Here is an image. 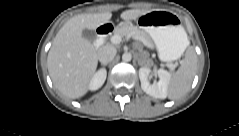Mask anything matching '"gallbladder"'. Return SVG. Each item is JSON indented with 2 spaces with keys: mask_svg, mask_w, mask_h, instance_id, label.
Segmentation results:
<instances>
[{
  "mask_svg": "<svg viewBox=\"0 0 239 136\" xmlns=\"http://www.w3.org/2000/svg\"><path fill=\"white\" fill-rule=\"evenodd\" d=\"M82 37L90 42H94L97 38V35L94 30L84 29L82 32Z\"/></svg>",
  "mask_w": 239,
  "mask_h": 136,
  "instance_id": "bac80fb5",
  "label": "gallbladder"
}]
</instances>
